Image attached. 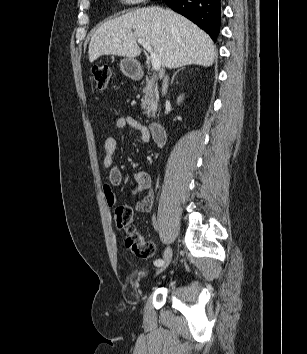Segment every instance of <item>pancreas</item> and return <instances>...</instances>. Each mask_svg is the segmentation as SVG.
Listing matches in <instances>:
<instances>
[{"label": "pancreas", "mask_w": 307, "mask_h": 354, "mask_svg": "<svg viewBox=\"0 0 307 354\" xmlns=\"http://www.w3.org/2000/svg\"><path fill=\"white\" fill-rule=\"evenodd\" d=\"M145 88L143 89V97L141 99V107L143 113L149 115L154 113L158 105V90L154 77L146 78Z\"/></svg>", "instance_id": "1"}]
</instances>
